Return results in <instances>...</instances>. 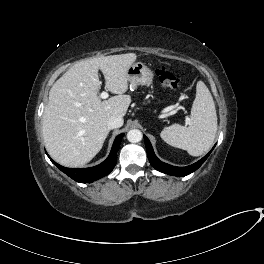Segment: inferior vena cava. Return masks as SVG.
Returning a JSON list of instances; mask_svg holds the SVG:
<instances>
[{
  "label": "inferior vena cava",
  "mask_w": 264,
  "mask_h": 264,
  "mask_svg": "<svg viewBox=\"0 0 264 264\" xmlns=\"http://www.w3.org/2000/svg\"><path fill=\"white\" fill-rule=\"evenodd\" d=\"M123 125V119L121 117L112 116L107 121V126L109 129L119 128Z\"/></svg>",
  "instance_id": "602c4592"
}]
</instances>
